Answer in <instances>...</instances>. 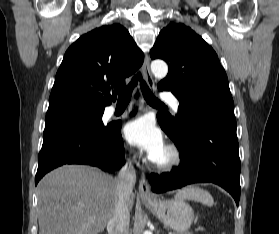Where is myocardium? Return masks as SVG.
Instances as JSON below:
<instances>
[{
	"mask_svg": "<svg viewBox=\"0 0 279 234\" xmlns=\"http://www.w3.org/2000/svg\"><path fill=\"white\" fill-rule=\"evenodd\" d=\"M165 156L161 160H153L154 166L161 171H167L177 166L181 161V154L175 145L165 147Z\"/></svg>",
	"mask_w": 279,
	"mask_h": 234,
	"instance_id": "obj_1",
	"label": "myocardium"
}]
</instances>
